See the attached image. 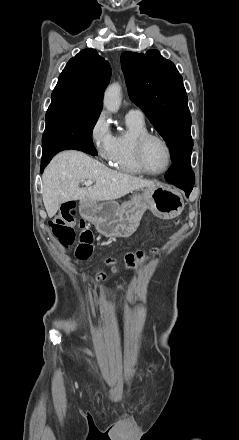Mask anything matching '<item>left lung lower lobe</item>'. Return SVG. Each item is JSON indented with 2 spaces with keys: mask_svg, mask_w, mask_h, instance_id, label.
Returning a JSON list of instances; mask_svg holds the SVG:
<instances>
[{
  "mask_svg": "<svg viewBox=\"0 0 239 440\" xmlns=\"http://www.w3.org/2000/svg\"><path fill=\"white\" fill-rule=\"evenodd\" d=\"M166 180L184 190L189 196L194 186L195 175L191 169V154L185 155L174 161Z\"/></svg>",
  "mask_w": 239,
  "mask_h": 440,
  "instance_id": "1",
  "label": "left lung lower lobe"
}]
</instances>
